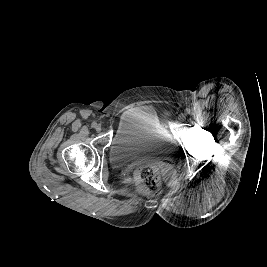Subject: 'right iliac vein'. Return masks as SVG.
<instances>
[{
    "label": "right iliac vein",
    "instance_id": "obj_1",
    "mask_svg": "<svg viewBox=\"0 0 267 267\" xmlns=\"http://www.w3.org/2000/svg\"><path fill=\"white\" fill-rule=\"evenodd\" d=\"M95 129L97 132H100L102 130V127H101V125L98 124V125H96Z\"/></svg>",
    "mask_w": 267,
    "mask_h": 267
}]
</instances>
